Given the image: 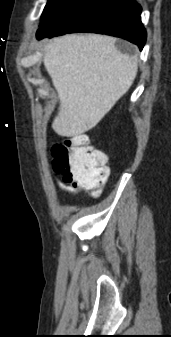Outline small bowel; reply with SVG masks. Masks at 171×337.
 <instances>
[{
	"label": "small bowel",
	"instance_id": "small-bowel-1",
	"mask_svg": "<svg viewBox=\"0 0 171 337\" xmlns=\"http://www.w3.org/2000/svg\"><path fill=\"white\" fill-rule=\"evenodd\" d=\"M57 187L59 188V190L63 193H67L73 196H77L78 192L77 189L71 185H67L61 181L57 182Z\"/></svg>",
	"mask_w": 171,
	"mask_h": 337
}]
</instances>
